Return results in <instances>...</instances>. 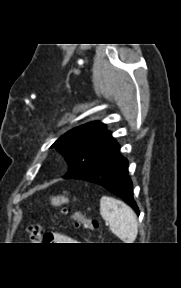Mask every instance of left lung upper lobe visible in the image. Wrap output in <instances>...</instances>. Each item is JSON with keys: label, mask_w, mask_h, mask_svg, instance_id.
I'll use <instances>...</instances> for the list:
<instances>
[{"label": "left lung upper lobe", "mask_w": 181, "mask_h": 288, "mask_svg": "<svg viewBox=\"0 0 181 288\" xmlns=\"http://www.w3.org/2000/svg\"><path fill=\"white\" fill-rule=\"evenodd\" d=\"M119 146L101 122H90L68 131L53 145L66 158L70 170L64 178L81 179L105 161Z\"/></svg>", "instance_id": "left-lung-upper-lobe-1"}]
</instances>
